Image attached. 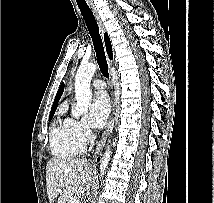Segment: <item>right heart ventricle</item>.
I'll list each match as a JSON object with an SVG mask.
<instances>
[{
    "label": "right heart ventricle",
    "mask_w": 214,
    "mask_h": 203,
    "mask_svg": "<svg viewBox=\"0 0 214 203\" xmlns=\"http://www.w3.org/2000/svg\"><path fill=\"white\" fill-rule=\"evenodd\" d=\"M50 149L59 160H69L84 151L82 143L75 135L71 119L61 116L50 131Z\"/></svg>",
    "instance_id": "obj_1"
}]
</instances>
